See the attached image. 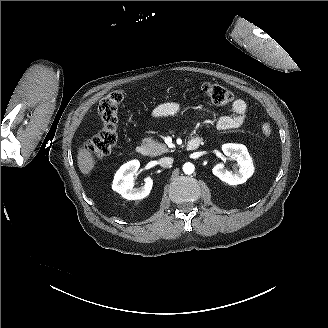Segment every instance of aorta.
I'll return each mask as SVG.
<instances>
[{"label": "aorta", "instance_id": "1", "mask_svg": "<svg viewBox=\"0 0 328 328\" xmlns=\"http://www.w3.org/2000/svg\"><path fill=\"white\" fill-rule=\"evenodd\" d=\"M195 170V167L192 163L190 162H186L184 165H183V171L185 174H192Z\"/></svg>", "mask_w": 328, "mask_h": 328}]
</instances>
